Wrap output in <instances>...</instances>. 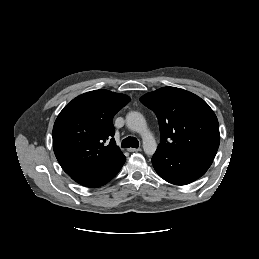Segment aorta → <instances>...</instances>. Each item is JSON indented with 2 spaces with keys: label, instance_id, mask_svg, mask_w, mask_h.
Masks as SVG:
<instances>
[{
  "label": "aorta",
  "instance_id": "762f6f07",
  "mask_svg": "<svg viewBox=\"0 0 259 259\" xmlns=\"http://www.w3.org/2000/svg\"><path fill=\"white\" fill-rule=\"evenodd\" d=\"M126 125L130 130L141 135L144 152L148 155H153L157 149V144L148 129L144 116L136 111L129 112L126 115Z\"/></svg>",
  "mask_w": 259,
  "mask_h": 259
}]
</instances>
